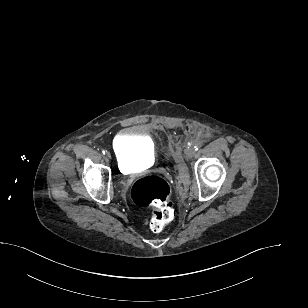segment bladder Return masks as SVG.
Returning a JSON list of instances; mask_svg holds the SVG:
<instances>
[{
    "label": "bladder",
    "mask_w": 308,
    "mask_h": 308,
    "mask_svg": "<svg viewBox=\"0 0 308 308\" xmlns=\"http://www.w3.org/2000/svg\"><path fill=\"white\" fill-rule=\"evenodd\" d=\"M113 152L119 167L123 170L143 166L156 159L152 138L139 126L122 130L113 141Z\"/></svg>",
    "instance_id": "31cf9c89"
}]
</instances>
